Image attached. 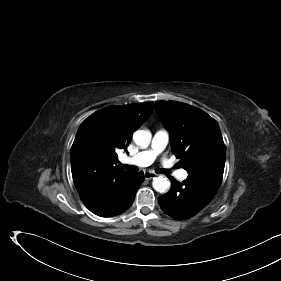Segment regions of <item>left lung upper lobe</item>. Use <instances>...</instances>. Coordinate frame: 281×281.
I'll return each mask as SVG.
<instances>
[{"label":"left lung upper lobe","instance_id":"left-lung-upper-lobe-1","mask_svg":"<svg viewBox=\"0 0 281 281\" xmlns=\"http://www.w3.org/2000/svg\"><path fill=\"white\" fill-rule=\"evenodd\" d=\"M160 121L170 132L171 150L191 176L221 185L225 145L219 125L207 113L176 101H156Z\"/></svg>","mask_w":281,"mask_h":281}]
</instances>
